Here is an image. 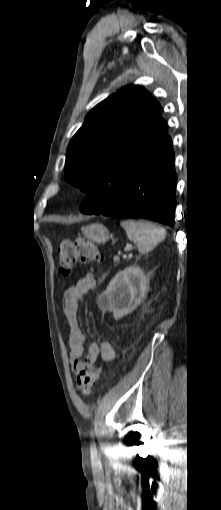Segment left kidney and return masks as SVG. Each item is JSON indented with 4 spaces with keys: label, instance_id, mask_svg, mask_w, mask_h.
I'll return each mask as SVG.
<instances>
[{
    "label": "left kidney",
    "instance_id": "1",
    "mask_svg": "<svg viewBox=\"0 0 221 510\" xmlns=\"http://www.w3.org/2000/svg\"><path fill=\"white\" fill-rule=\"evenodd\" d=\"M149 278L142 269L130 266L119 271L97 299L99 308L113 313L115 319L130 314L148 291Z\"/></svg>",
    "mask_w": 221,
    "mask_h": 510
}]
</instances>
